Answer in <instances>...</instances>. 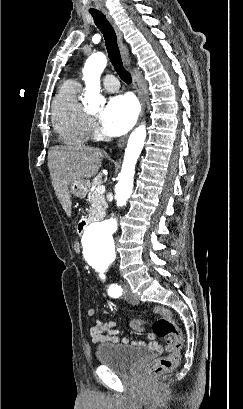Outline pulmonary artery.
Segmentation results:
<instances>
[{"mask_svg": "<svg viewBox=\"0 0 243 409\" xmlns=\"http://www.w3.org/2000/svg\"><path fill=\"white\" fill-rule=\"evenodd\" d=\"M103 85L109 92H114L119 88V82L113 75H106L103 79Z\"/></svg>", "mask_w": 243, "mask_h": 409, "instance_id": "e3ab8cb5", "label": "pulmonary artery"}]
</instances>
